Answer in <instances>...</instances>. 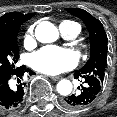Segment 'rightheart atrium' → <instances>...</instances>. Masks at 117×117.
<instances>
[{
	"instance_id": "right-heart-atrium-1",
	"label": "right heart atrium",
	"mask_w": 117,
	"mask_h": 117,
	"mask_svg": "<svg viewBox=\"0 0 117 117\" xmlns=\"http://www.w3.org/2000/svg\"><path fill=\"white\" fill-rule=\"evenodd\" d=\"M24 45L26 47H30L33 45L34 43V39H33V27H30L27 32L24 35V39H23Z\"/></svg>"
}]
</instances>
